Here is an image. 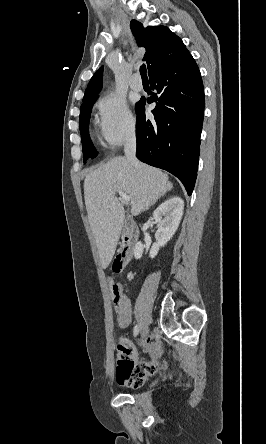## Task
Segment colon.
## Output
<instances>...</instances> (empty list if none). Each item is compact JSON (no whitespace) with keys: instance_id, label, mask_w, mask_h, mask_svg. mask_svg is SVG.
<instances>
[{"instance_id":"1","label":"colon","mask_w":266,"mask_h":444,"mask_svg":"<svg viewBox=\"0 0 266 444\" xmlns=\"http://www.w3.org/2000/svg\"><path fill=\"white\" fill-rule=\"evenodd\" d=\"M123 287L120 283H114L111 289V299L114 308L119 307L124 299Z\"/></svg>"}]
</instances>
